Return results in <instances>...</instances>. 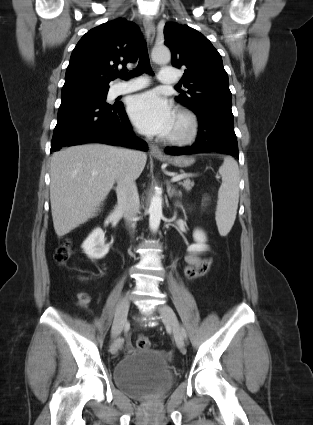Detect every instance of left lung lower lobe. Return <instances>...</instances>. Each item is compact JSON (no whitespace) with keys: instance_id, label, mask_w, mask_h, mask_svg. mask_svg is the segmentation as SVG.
<instances>
[{"instance_id":"0a47b994","label":"left lung lower lobe","mask_w":313,"mask_h":425,"mask_svg":"<svg viewBox=\"0 0 313 425\" xmlns=\"http://www.w3.org/2000/svg\"><path fill=\"white\" fill-rule=\"evenodd\" d=\"M195 113L199 121L195 144L184 148H166L165 152L171 155L217 152L239 158L232 111L225 108H205Z\"/></svg>"}]
</instances>
